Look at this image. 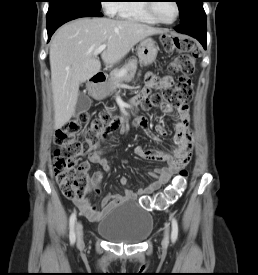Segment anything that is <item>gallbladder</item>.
Returning <instances> with one entry per match:
<instances>
[{"label":"gallbladder","instance_id":"obj_1","mask_svg":"<svg viewBox=\"0 0 258 275\" xmlns=\"http://www.w3.org/2000/svg\"><path fill=\"white\" fill-rule=\"evenodd\" d=\"M91 99L86 93L80 92L75 106L76 114L85 113L91 106Z\"/></svg>","mask_w":258,"mask_h":275}]
</instances>
